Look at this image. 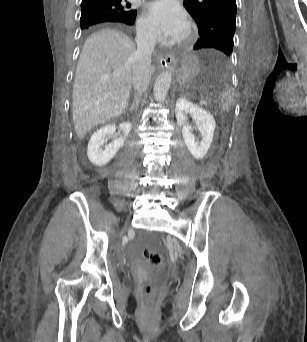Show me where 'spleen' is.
Returning a JSON list of instances; mask_svg holds the SVG:
<instances>
[{
  "label": "spleen",
  "instance_id": "3e777b00",
  "mask_svg": "<svg viewBox=\"0 0 307 342\" xmlns=\"http://www.w3.org/2000/svg\"><path fill=\"white\" fill-rule=\"evenodd\" d=\"M221 103L219 104V109L223 110L225 114H228L230 110L232 109V100H233V94L228 88V86H225L223 92H221Z\"/></svg>",
  "mask_w": 307,
  "mask_h": 342
}]
</instances>
